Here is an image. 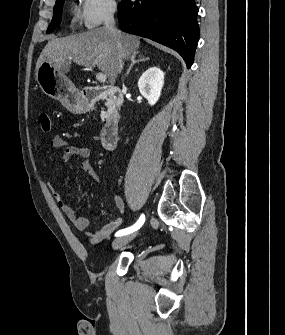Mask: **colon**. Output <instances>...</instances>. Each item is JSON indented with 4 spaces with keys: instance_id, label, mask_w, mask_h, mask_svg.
Returning <instances> with one entry per match:
<instances>
[{
    "instance_id": "1",
    "label": "colon",
    "mask_w": 285,
    "mask_h": 335,
    "mask_svg": "<svg viewBox=\"0 0 285 335\" xmlns=\"http://www.w3.org/2000/svg\"><path fill=\"white\" fill-rule=\"evenodd\" d=\"M39 123L42 131L49 132L51 130V119L47 113L43 112L39 115Z\"/></svg>"
}]
</instances>
